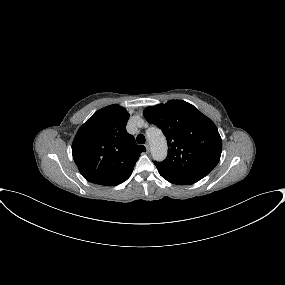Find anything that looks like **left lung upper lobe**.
<instances>
[{"label": "left lung upper lobe", "mask_w": 285, "mask_h": 285, "mask_svg": "<svg viewBox=\"0 0 285 285\" xmlns=\"http://www.w3.org/2000/svg\"><path fill=\"white\" fill-rule=\"evenodd\" d=\"M146 120L165 134L168 155L155 162L160 175L204 178L219 162L222 140L215 124L192 104L170 100L147 107Z\"/></svg>", "instance_id": "1"}]
</instances>
